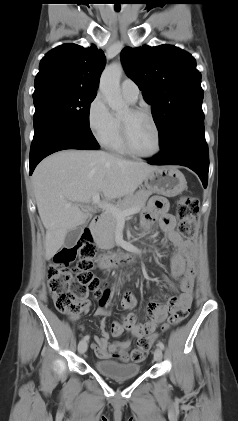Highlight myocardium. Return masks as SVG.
<instances>
[{
	"mask_svg": "<svg viewBox=\"0 0 238 421\" xmlns=\"http://www.w3.org/2000/svg\"><path fill=\"white\" fill-rule=\"evenodd\" d=\"M130 111L133 114L145 115L150 119V121L152 122V124L155 128V131H156L157 146H156V149L150 154H141V153L137 152L131 144L127 123L124 120H122L121 118H119L121 137H122V141H123V144H124L126 150L128 151L129 154L133 155L134 157L140 158V159H150V158H153V157L157 156L161 152V149H162V133H161V129H160V126H159L156 118L154 117V115L149 110H147L145 108L132 107V108H130Z\"/></svg>",
	"mask_w": 238,
	"mask_h": 421,
	"instance_id": "obj_1",
	"label": "myocardium"
}]
</instances>
